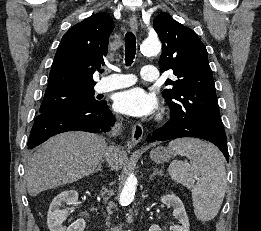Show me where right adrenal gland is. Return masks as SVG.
<instances>
[{"instance_id": "2a0ac1e0", "label": "right adrenal gland", "mask_w": 261, "mask_h": 231, "mask_svg": "<svg viewBox=\"0 0 261 231\" xmlns=\"http://www.w3.org/2000/svg\"><path fill=\"white\" fill-rule=\"evenodd\" d=\"M102 163H103V161L98 164V167L91 173L92 175L96 172H102V169H101Z\"/></svg>"}]
</instances>
